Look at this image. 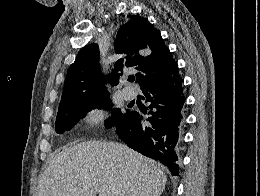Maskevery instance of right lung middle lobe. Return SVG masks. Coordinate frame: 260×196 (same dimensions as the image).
<instances>
[{"label":"right lung middle lobe","instance_id":"obj_1","mask_svg":"<svg viewBox=\"0 0 260 196\" xmlns=\"http://www.w3.org/2000/svg\"><path fill=\"white\" fill-rule=\"evenodd\" d=\"M109 93H100L79 99L62 110L58 111L55 129L59 134L68 131L79 119L83 118L88 111L94 108L112 110L113 116L105 122L107 128L118 125L123 122L130 111L121 112L120 109H112V102L108 98Z\"/></svg>","mask_w":260,"mask_h":196}]
</instances>
